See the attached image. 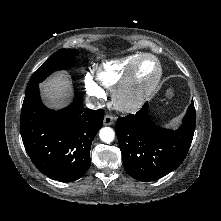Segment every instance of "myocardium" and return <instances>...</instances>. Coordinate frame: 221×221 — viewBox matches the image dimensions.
<instances>
[{"label":"myocardium","mask_w":221,"mask_h":221,"mask_svg":"<svg viewBox=\"0 0 221 221\" xmlns=\"http://www.w3.org/2000/svg\"><path fill=\"white\" fill-rule=\"evenodd\" d=\"M145 59H152L157 66V74L148 85L138 88L136 86V72L140 63ZM163 74L162 65L157 57L152 54H141L131 65L114 92V104L117 109L124 112L138 110L155 91Z\"/></svg>","instance_id":"1"}]
</instances>
